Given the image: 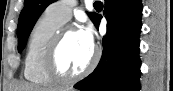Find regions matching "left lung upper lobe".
<instances>
[{"label":"left lung upper lobe","instance_id":"left-lung-upper-lobe-1","mask_svg":"<svg viewBox=\"0 0 173 91\" xmlns=\"http://www.w3.org/2000/svg\"><path fill=\"white\" fill-rule=\"evenodd\" d=\"M55 0H24V8L22 9L18 21V51L21 52L26 43L28 36L35 25L40 14L45 8ZM94 22L97 14L95 12L88 13Z\"/></svg>","mask_w":173,"mask_h":91}]
</instances>
